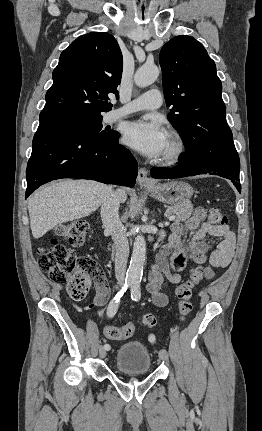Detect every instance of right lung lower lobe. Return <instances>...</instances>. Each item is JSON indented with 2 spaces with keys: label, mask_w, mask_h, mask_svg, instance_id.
Here are the masks:
<instances>
[{
  "label": "right lung lower lobe",
  "mask_w": 262,
  "mask_h": 431,
  "mask_svg": "<svg viewBox=\"0 0 262 431\" xmlns=\"http://www.w3.org/2000/svg\"><path fill=\"white\" fill-rule=\"evenodd\" d=\"M110 138L89 136L77 129L39 125L27 164V198L39 186L55 179H91L128 187L135 185L138 166L129 151Z\"/></svg>",
  "instance_id": "1"
}]
</instances>
